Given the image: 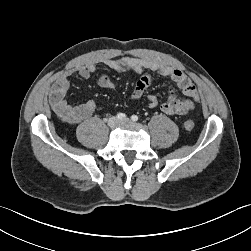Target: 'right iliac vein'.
<instances>
[{
  "label": "right iliac vein",
  "mask_w": 251,
  "mask_h": 251,
  "mask_svg": "<svg viewBox=\"0 0 251 251\" xmlns=\"http://www.w3.org/2000/svg\"><path fill=\"white\" fill-rule=\"evenodd\" d=\"M119 123H120V121L118 120L117 117H111V118L108 120V126H109L110 128H115Z\"/></svg>",
  "instance_id": "right-iliac-vein-1"
}]
</instances>
